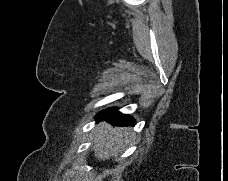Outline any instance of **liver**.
<instances>
[{
  "label": "liver",
  "mask_w": 228,
  "mask_h": 181,
  "mask_svg": "<svg viewBox=\"0 0 228 181\" xmlns=\"http://www.w3.org/2000/svg\"><path fill=\"white\" fill-rule=\"evenodd\" d=\"M131 131L128 127H111L109 123H100L93 129L95 159H112L119 155L130 141Z\"/></svg>",
  "instance_id": "6515ba94"
}]
</instances>
